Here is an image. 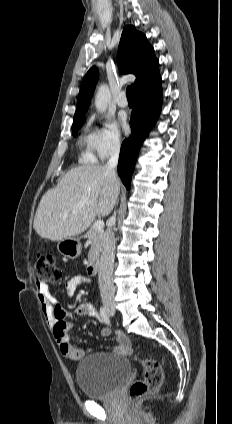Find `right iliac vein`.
I'll use <instances>...</instances> for the list:
<instances>
[{"mask_svg":"<svg viewBox=\"0 0 232 424\" xmlns=\"http://www.w3.org/2000/svg\"><path fill=\"white\" fill-rule=\"evenodd\" d=\"M105 309H106L107 312L112 313V314L115 312L114 305L110 304V303L105 304Z\"/></svg>","mask_w":232,"mask_h":424,"instance_id":"63e3f726","label":"right iliac vein"}]
</instances>
